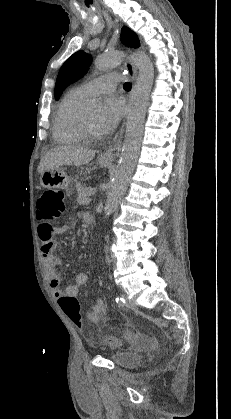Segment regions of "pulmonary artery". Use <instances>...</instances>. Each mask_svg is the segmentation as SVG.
I'll return each instance as SVG.
<instances>
[{
	"mask_svg": "<svg viewBox=\"0 0 231 419\" xmlns=\"http://www.w3.org/2000/svg\"><path fill=\"white\" fill-rule=\"evenodd\" d=\"M120 80V75L109 73L82 84L78 89L88 97L101 93H110L115 90Z\"/></svg>",
	"mask_w": 231,
	"mask_h": 419,
	"instance_id": "obj_1",
	"label": "pulmonary artery"
}]
</instances>
